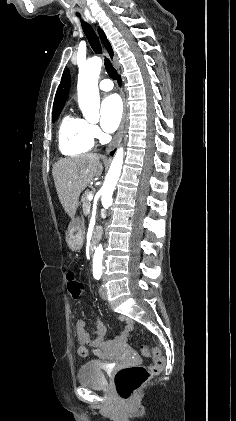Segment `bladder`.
<instances>
[{"label":"bladder","instance_id":"obj_1","mask_svg":"<svg viewBox=\"0 0 236 421\" xmlns=\"http://www.w3.org/2000/svg\"><path fill=\"white\" fill-rule=\"evenodd\" d=\"M77 383L85 385L91 389L103 390L106 380L102 368L96 360L84 362L77 370Z\"/></svg>","mask_w":236,"mask_h":421}]
</instances>
